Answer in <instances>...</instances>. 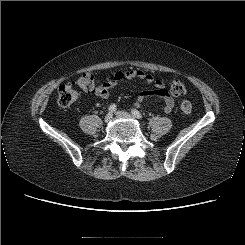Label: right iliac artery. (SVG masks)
I'll return each mask as SVG.
<instances>
[{
  "mask_svg": "<svg viewBox=\"0 0 245 245\" xmlns=\"http://www.w3.org/2000/svg\"><path fill=\"white\" fill-rule=\"evenodd\" d=\"M116 109H117V106H116L115 104H111V105L109 106V108H108V111H109L110 113H112V112L116 111Z\"/></svg>",
  "mask_w": 245,
  "mask_h": 245,
  "instance_id": "obj_1",
  "label": "right iliac artery"
}]
</instances>
